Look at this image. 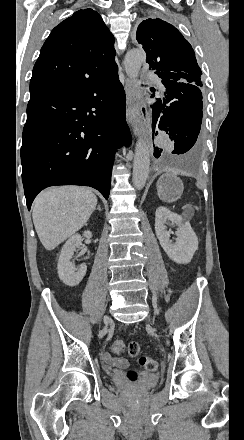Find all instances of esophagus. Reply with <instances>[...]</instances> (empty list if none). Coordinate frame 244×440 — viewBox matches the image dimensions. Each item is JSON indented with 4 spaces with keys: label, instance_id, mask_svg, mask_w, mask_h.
Returning <instances> with one entry per match:
<instances>
[{
    "label": "esophagus",
    "instance_id": "obj_1",
    "mask_svg": "<svg viewBox=\"0 0 244 440\" xmlns=\"http://www.w3.org/2000/svg\"><path fill=\"white\" fill-rule=\"evenodd\" d=\"M124 82L126 100L129 107L132 108V111L136 118L133 133L136 136L142 137L147 142L150 152L153 153V144L151 138V118L148 107L140 99V97H137L133 80L125 78Z\"/></svg>",
    "mask_w": 244,
    "mask_h": 440
}]
</instances>
